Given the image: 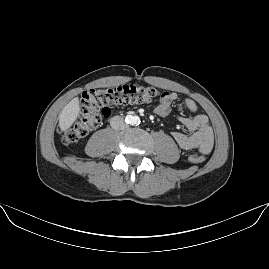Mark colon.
<instances>
[{
	"mask_svg": "<svg viewBox=\"0 0 269 269\" xmlns=\"http://www.w3.org/2000/svg\"><path fill=\"white\" fill-rule=\"evenodd\" d=\"M158 91L151 86L134 83L119 84L112 87H87L82 92V109L75 124L64 133L62 139L71 144L79 141L101 122L103 116L111 107L120 105L150 102L156 98ZM191 163L206 159L204 153L187 156Z\"/></svg>",
	"mask_w": 269,
	"mask_h": 269,
	"instance_id": "1",
	"label": "colon"
}]
</instances>
